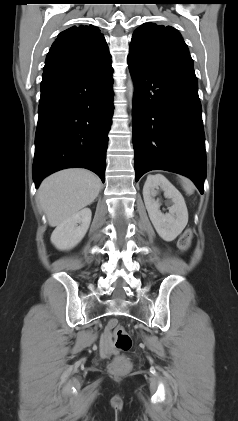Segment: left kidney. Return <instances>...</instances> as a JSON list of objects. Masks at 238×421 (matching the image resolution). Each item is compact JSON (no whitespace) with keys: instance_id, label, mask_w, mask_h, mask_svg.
I'll return each instance as SVG.
<instances>
[{"instance_id":"5707ae66","label":"left kidney","mask_w":238,"mask_h":421,"mask_svg":"<svg viewBox=\"0 0 238 421\" xmlns=\"http://www.w3.org/2000/svg\"><path fill=\"white\" fill-rule=\"evenodd\" d=\"M172 200L168 214L160 211V202L155 200L157 189ZM143 198L150 220L159 236L165 241H173L188 223V210L181 193L162 175L148 176L143 187Z\"/></svg>"}]
</instances>
